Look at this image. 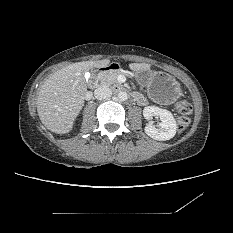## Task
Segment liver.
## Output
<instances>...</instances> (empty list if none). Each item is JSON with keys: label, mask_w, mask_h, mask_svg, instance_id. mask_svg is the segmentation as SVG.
Here are the masks:
<instances>
[{"label": "liver", "mask_w": 233, "mask_h": 233, "mask_svg": "<svg viewBox=\"0 0 233 233\" xmlns=\"http://www.w3.org/2000/svg\"><path fill=\"white\" fill-rule=\"evenodd\" d=\"M110 60L83 61L70 64L51 75L42 84L37 97V112L42 124L51 132H69L84 106L87 85L83 72L102 68ZM150 64L132 63L133 71L150 69Z\"/></svg>", "instance_id": "liver-1"}]
</instances>
